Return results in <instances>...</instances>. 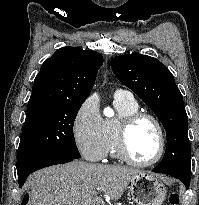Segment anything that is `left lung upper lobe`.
Here are the masks:
<instances>
[{"instance_id":"left-lung-upper-lobe-1","label":"left lung upper lobe","mask_w":199,"mask_h":205,"mask_svg":"<svg viewBox=\"0 0 199 205\" xmlns=\"http://www.w3.org/2000/svg\"><path fill=\"white\" fill-rule=\"evenodd\" d=\"M110 65L118 80L142 99L165 128L167 149L153 170L191 179L187 114L172 73L156 58L141 54L114 57Z\"/></svg>"}]
</instances>
